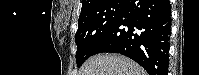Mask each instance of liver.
Returning a JSON list of instances; mask_svg holds the SVG:
<instances>
[{
    "label": "liver",
    "mask_w": 199,
    "mask_h": 75,
    "mask_svg": "<svg viewBox=\"0 0 199 75\" xmlns=\"http://www.w3.org/2000/svg\"><path fill=\"white\" fill-rule=\"evenodd\" d=\"M79 75H147V73L125 56L106 53L89 58Z\"/></svg>",
    "instance_id": "1"
}]
</instances>
